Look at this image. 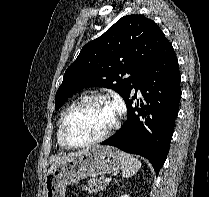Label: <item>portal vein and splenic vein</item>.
Masks as SVG:
<instances>
[{
  "label": "portal vein and splenic vein",
  "mask_w": 209,
  "mask_h": 197,
  "mask_svg": "<svg viewBox=\"0 0 209 197\" xmlns=\"http://www.w3.org/2000/svg\"><path fill=\"white\" fill-rule=\"evenodd\" d=\"M105 181H106L107 183H109V182L111 181V179H110V178H106Z\"/></svg>",
  "instance_id": "portal-vein-and-splenic-vein-1"
}]
</instances>
